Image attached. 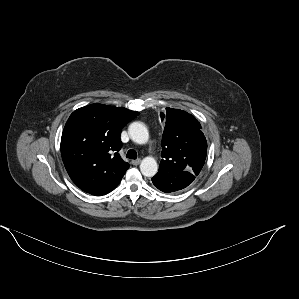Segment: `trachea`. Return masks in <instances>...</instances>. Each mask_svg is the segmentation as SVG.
<instances>
[{"label":"trachea","instance_id":"trachea-1","mask_svg":"<svg viewBox=\"0 0 299 299\" xmlns=\"http://www.w3.org/2000/svg\"><path fill=\"white\" fill-rule=\"evenodd\" d=\"M126 157L129 159H136L137 158V152L133 149H130L127 151Z\"/></svg>","mask_w":299,"mask_h":299}]
</instances>
